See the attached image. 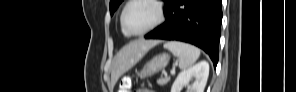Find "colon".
I'll list each match as a JSON object with an SVG mask.
<instances>
[{
	"label": "colon",
	"mask_w": 296,
	"mask_h": 92,
	"mask_svg": "<svg viewBox=\"0 0 296 92\" xmlns=\"http://www.w3.org/2000/svg\"><path fill=\"white\" fill-rule=\"evenodd\" d=\"M119 91L120 92H131V91H135V92H148L147 90H144V89L132 90V78L129 77V76L124 77L120 81Z\"/></svg>",
	"instance_id": "1"
}]
</instances>
